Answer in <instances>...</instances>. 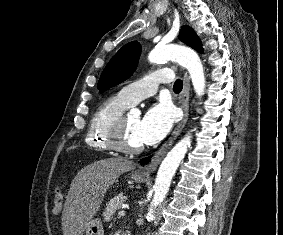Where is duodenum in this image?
<instances>
[{"label":"duodenum","instance_id":"1","mask_svg":"<svg viewBox=\"0 0 283 235\" xmlns=\"http://www.w3.org/2000/svg\"><path fill=\"white\" fill-rule=\"evenodd\" d=\"M123 235H130V233L128 231H125Z\"/></svg>","mask_w":283,"mask_h":235}]
</instances>
